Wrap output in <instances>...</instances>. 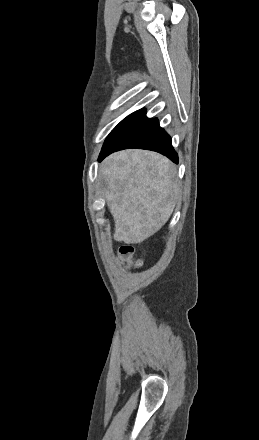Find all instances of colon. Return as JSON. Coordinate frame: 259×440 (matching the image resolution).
Returning a JSON list of instances; mask_svg holds the SVG:
<instances>
[{"mask_svg":"<svg viewBox=\"0 0 259 440\" xmlns=\"http://www.w3.org/2000/svg\"><path fill=\"white\" fill-rule=\"evenodd\" d=\"M120 261L128 264L131 267L141 266V260L134 258V248L132 246H122L119 249Z\"/></svg>","mask_w":259,"mask_h":440,"instance_id":"1","label":"colon"}]
</instances>
